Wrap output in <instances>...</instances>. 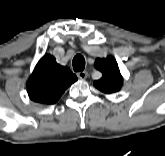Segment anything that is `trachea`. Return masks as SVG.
<instances>
[{
    "label": "trachea",
    "instance_id": "3493384b",
    "mask_svg": "<svg viewBox=\"0 0 165 156\" xmlns=\"http://www.w3.org/2000/svg\"><path fill=\"white\" fill-rule=\"evenodd\" d=\"M72 64H73L74 71H83L85 68V59L82 55L77 54L73 58Z\"/></svg>",
    "mask_w": 165,
    "mask_h": 156
}]
</instances>
